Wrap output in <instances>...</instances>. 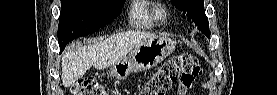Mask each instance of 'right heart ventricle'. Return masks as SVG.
Returning a JSON list of instances; mask_svg holds the SVG:
<instances>
[{"label": "right heart ventricle", "mask_w": 277, "mask_h": 95, "mask_svg": "<svg viewBox=\"0 0 277 95\" xmlns=\"http://www.w3.org/2000/svg\"><path fill=\"white\" fill-rule=\"evenodd\" d=\"M153 8L149 0H134L129 14L132 27L141 29L153 26Z\"/></svg>", "instance_id": "e07e8e85"}]
</instances>
